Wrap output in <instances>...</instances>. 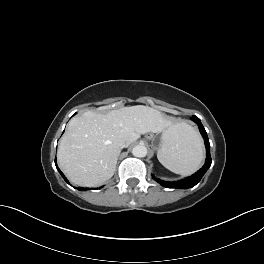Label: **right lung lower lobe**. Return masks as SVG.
<instances>
[{
  "mask_svg": "<svg viewBox=\"0 0 264 264\" xmlns=\"http://www.w3.org/2000/svg\"><path fill=\"white\" fill-rule=\"evenodd\" d=\"M55 164H56V167H57L58 171L60 172V174H61L62 177L64 178V180L68 183V181H67V179L65 178L64 174H63V173L60 171V169L58 168L56 161H55ZM77 189H78V190H81V191H84V190H86L87 188H84V187H77Z\"/></svg>",
  "mask_w": 264,
  "mask_h": 264,
  "instance_id": "obj_1",
  "label": "right lung lower lobe"
}]
</instances>
